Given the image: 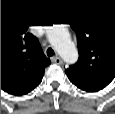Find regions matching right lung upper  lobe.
<instances>
[{"instance_id":"right-lung-upper-lobe-1","label":"right lung upper lobe","mask_w":115,"mask_h":114,"mask_svg":"<svg viewBox=\"0 0 115 114\" xmlns=\"http://www.w3.org/2000/svg\"><path fill=\"white\" fill-rule=\"evenodd\" d=\"M21 20H1V89L20 96L36 88L51 61Z\"/></svg>"}]
</instances>
